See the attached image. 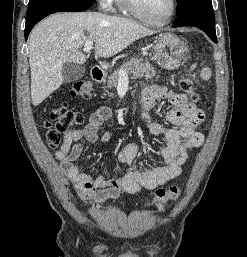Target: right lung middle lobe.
I'll return each mask as SVG.
<instances>
[{
	"label": "right lung middle lobe",
	"instance_id": "dd1d6c3e",
	"mask_svg": "<svg viewBox=\"0 0 247 257\" xmlns=\"http://www.w3.org/2000/svg\"><path fill=\"white\" fill-rule=\"evenodd\" d=\"M39 1H46V0H29V5L37 3ZM76 1H87V2H93L94 0H76Z\"/></svg>",
	"mask_w": 247,
	"mask_h": 257
}]
</instances>
